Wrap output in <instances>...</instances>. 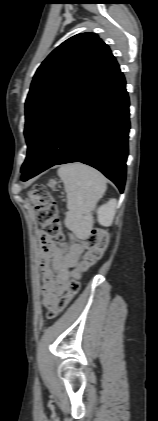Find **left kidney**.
Instances as JSON below:
<instances>
[{
    "label": "left kidney",
    "instance_id": "obj_1",
    "mask_svg": "<svg viewBox=\"0 0 158 421\" xmlns=\"http://www.w3.org/2000/svg\"><path fill=\"white\" fill-rule=\"evenodd\" d=\"M117 201L110 199L106 204L100 206L97 210V220L102 226H111L115 213Z\"/></svg>",
    "mask_w": 158,
    "mask_h": 421
}]
</instances>
